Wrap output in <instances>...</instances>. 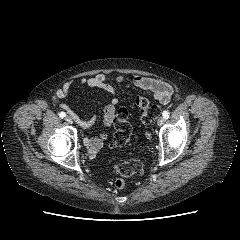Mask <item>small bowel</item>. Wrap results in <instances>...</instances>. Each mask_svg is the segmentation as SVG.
I'll return each mask as SVG.
<instances>
[{"label": "small bowel", "mask_w": 240, "mask_h": 240, "mask_svg": "<svg viewBox=\"0 0 240 240\" xmlns=\"http://www.w3.org/2000/svg\"><path fill=\"white\" fill-rule=\"evenodd\" d=\"M115 81L116 83L125 88L136 87L141 90L151 92L154 98L164 105L170 102L174 92L173 88L169 84L163 81L140 75H136L132 80H128L124 75H117L115 77ZM80 84L92 88H99L112 94V98L109 100V102L105 105L103 109V124L106 128H109L115 120L116 105L118 103V99L115 96L114 87L111 83H109L107 77L104 74H97L92 77L81 78ZM71 87L72 82L67 81L60 89L56 91V96L60 99L66 98L71 90ZM60 106L70 112L73 119L83 129L91 127L96 121V115H93L88 120H81L78 115L73 113L66 104L61 103ZM106 139V133H102L97 137H86L84 139V145L88 149V151L93 154L98 152L102 148Z\"/></svg>", "instance_id": "obj_1"}]
</instances>
